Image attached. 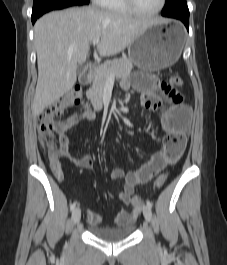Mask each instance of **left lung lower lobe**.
I'll use <instances>...</instances> for the list:
<instances>
[{
    "label": "left lung lower lobe",
    "instance_id": "obj_1",
    "mask_svg": "<svg viewBox=\"0 0 227 265\" xmlns=\"http://www.w3.org/2000/svg\"><path fill=\"white\" fill-rule=\"evenodd\" d=\"M172 18L181 20L185 24L186 28L189 30V16H179V17H172Z\"/></svg>",
    "mask_w": 227,
    "mask_h": 265
}]
</instances>
